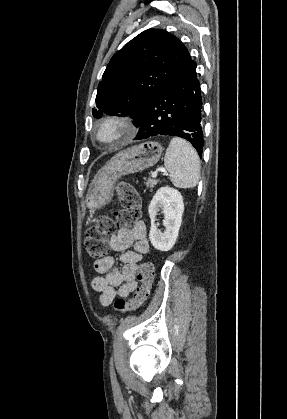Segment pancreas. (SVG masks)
<instances>
[{
  "mask_svg": "<svg viewBox=\"0 0 287 419\" xmlns=\"http://www.w3.org/2000/svg\"><path fill=\"white\" fill-rule=\"evenodd\" d=\"M158 183H159V180L148 179L145 182V185L147 186V188H149L152 191L153 188L155 187V185L158 184Z\"/></svg>",
  "mask_w": 287,
  "mask_h": 419,
  "instance_id": "1",
  "label": "pancreas"
}]
</instances>
